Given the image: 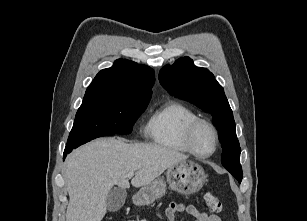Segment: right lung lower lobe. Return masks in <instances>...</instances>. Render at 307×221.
Segmentation results:
<instances>
[{
	"mask_svg": "<svg viewBox=\"0 0 307 221\" xmlns=\"http://www.w3.org/2000/svg\"><path fill=\"white\" fill-rule=\"evenodd\" d=\"M67 154H68V153L64 152V158H65V156H66Z\"/></svg>",
	"mask_w": 307,
	"mask_h": 221,
	"instance_id": "98d812e1",
	"label": "right lung lower lobe"
}]
</instances>
